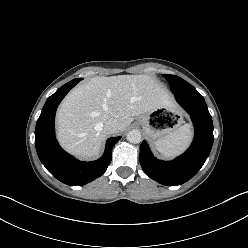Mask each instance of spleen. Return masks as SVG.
Wrapping results in <instances>:
<instances>
[{
	"instance_id": "3e777b00",
	"label": "spleen",
	"mask_w": 248,
	"mask_h": 248,
	"mask_svg": "<svg viewBox=\"0 0 248 248\" xmlns=\"http://www.w3.org/2000/svg\"><path fill=\"white\" fill-rule=\"evenodd\" d=\"M192 139L189 124L179 127L155 142L156 149L165 157L171 158L183 152Z\"/></svg>"
}]
</instances>
